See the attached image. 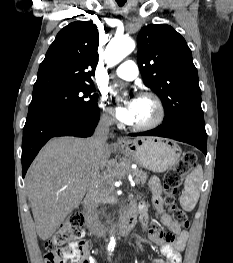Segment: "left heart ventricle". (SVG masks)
<instances>
[{"instance_id": "b2bd125f", "label": "left heart ventricle", "mask_w": 233, "mask_h": 263, "mask_svg": "<svg viewBox=\"0 0 233 263\" xmlns=\"http://www.w3.org/2000/svg\"><path fill=\"white\" fill-rule=\"evenodd\" d=\"M155 115V107L148 99H140L138 101V112L134 124L148 122Z\"/></svg>"}]
</instances>
